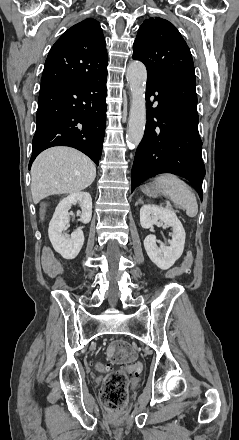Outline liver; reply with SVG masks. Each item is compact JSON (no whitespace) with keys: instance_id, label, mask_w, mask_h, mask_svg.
Returning a JSON list of instances; mask_svg holds the SVG:
<instances>
[{"instance_id":"liver-1","label":"liver","mask_w":239,"mask_h":440,"mask_svg":"<svg viewBox=\"0 0 239 440\" xmlns=\"http://www.w3.org/2000/svg\"><path fill=\"white\" fill-rule=\"evenodd\" d=\"M34 204L52 194H74L91 186L96 168L90 158L74 150L56 146L37 156L31 168Z\"/></svg>"}]
</instances>
